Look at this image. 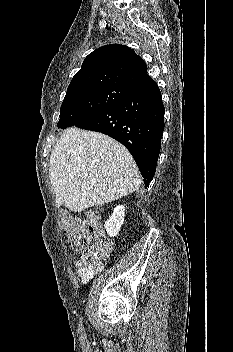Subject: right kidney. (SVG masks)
<instances>
[{"instance_id": "right-kidney-1", "label": "right kidney", "mask_w": 233, "mask_h": 352, "mask_svg": "<svg viewBox=\"0 0 233 352\" xmlns=\"http://www.w3.org/2000/svg\"><path fill=\"white\" fill-rule=\"evenodd\" d=\"M125 208L123 205H118L114 208L112 215L105 222V229L110 237L116 236L124 222Z\"/></svg>"}]
</instances>
